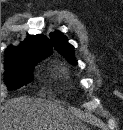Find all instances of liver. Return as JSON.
I'll return each mask as SVG.
<instances>
[{"label": "liver", "instance_id": "6515ba94", "mask_svg": "<svg viewBox=\"0 0 123 130\" xmlns=\"http://www.w3.org/2000/svg\"><path fill=\"white\" fill-rule=\"evenodd\" d=\"M80 127L57 101L20 96L1 106V130H72Z\"/></svg>", "mask_w": 123, "mask_h": 130}]
</instances>
